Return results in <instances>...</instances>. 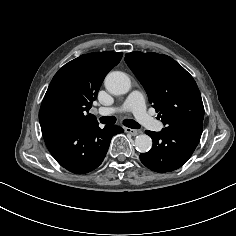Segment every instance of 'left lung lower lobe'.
I'll use <instances>...</instances> for the list:
<instances>
[{
    "label": "left lung lower lobe",
    "instance_id": "obj_1",
    "mask_svg": "<svg viewBox=\"0 0 236 236\" xmlns=\"http://www.w3.org/2000/svg\"><path fill=\"white\" fill-rule=\"evenodd\" d=\"M202 126L181 125L163 128L161 132L146 131L153 139V147L140 154L141 162L149 169L164 173L181 167L197 147Z\"/></svg>",
    "mask_w": 236,
    "mask_h": 236
}]
</instances>
